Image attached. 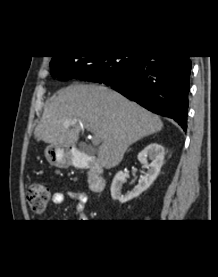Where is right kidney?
Wrapping results in <instances>:
<instances>
[{
  "instance_id": "1",
  "label": "right kidney",
  "mask_w": 218,
  "mask_h": 277,
  "mask_svg": "<svg viewBox=\"0 0 218 277\" xmlns=\"http://www.w3.org/2000/svg\"><path fill=\"white\" fill-rule=\"evenodd\" d=\"M164 155V147L160 144L151 143L145 147L144 150L138 154V160L145 165L148 170L147 173L141 178L138 185L135 186L131 192L122 195L121 191L123 183L125 182V174L123 171L117 172L110 188L112 199L120 203H125L146 191L156 180L163 164ZM147 159L151 160L150 164H148Z\"/></svg>"
}]
</instances>
